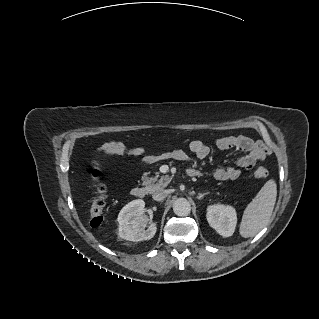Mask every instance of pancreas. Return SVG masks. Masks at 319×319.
<instances>
[{
	"mask_svg": "<svg viewBox=\"0 0 319 319\" xmlns=\"http://www.w3.org/2000/svg\"><path fill=\"white\" fill-rule=\"evenodd\" d=\"M158 177L159 175L156 173L155 177H146L144 179L143 184L146 186V191L148 193H153L157 190L163 189L169 184V178L167 176H163L159 182L155 183Z\"/></svg>",
	"mask_w": 319,
	"mask_h": 319,
	"instance_id": "1",
	"label": "pancreas"
}]
</instances>
